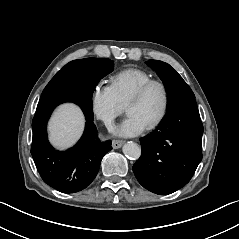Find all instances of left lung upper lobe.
Instances as JSON below:
<instances>
[{
    "label": "left lung upper lobe",
    "instance_id": "5c2ea615",
    "mask_svg": "<svg viewBox=\"0 0 239 239\" xmlns=\"http://www.w3.org/2000/svg\"><path fill=\"white\" fill-rule=\"evenodd\" d=\"M159 75L168 93L167 109L186 99L195 98L194 93L183 78L167 63L158 60L147 62Z\"/></svg>",
    "mask_w": 239,
    "mask_h": 239
}]
</instances>
